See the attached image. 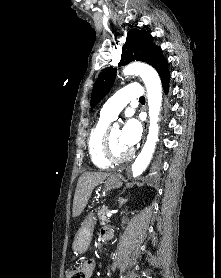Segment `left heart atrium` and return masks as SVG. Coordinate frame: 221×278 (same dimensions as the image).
Returning <instances> with one entry per match:
<instances>
[{
	"mask_svg": "<svg viewBox=\"0 0 221 278\" xmlns=\"http://www.w3.org/2000/svg\"><path fill=\"white\" fill-rule=\"evenodd\" d=\"M140 135L141 128L135 119H129L121 130V139L129 148H132L137 143Z\"/></svg>",
	"mask_w": 221,
	"mask_h": 278,
	"instance_id": "obj_1",
	"label": "left heart atrium"
}]
</instances>
